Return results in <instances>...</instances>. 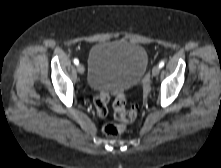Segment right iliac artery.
<instances>
[{"mask_svg": "<svg viewBox=\"0 0 221 168\" xmlns=\"http://www.w3.org/2000/svg\"><path fill=\"white\" fill-rule=\"evenodd\" d=\"M73 62H74L75 65L79 64V60L77 58H75Z\"/></svg>", "mask_w": 221, "mask_h": 168, "instance_id": "1", "label": "right iliac artery"}]
</instances>
